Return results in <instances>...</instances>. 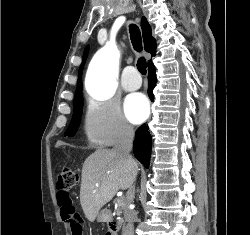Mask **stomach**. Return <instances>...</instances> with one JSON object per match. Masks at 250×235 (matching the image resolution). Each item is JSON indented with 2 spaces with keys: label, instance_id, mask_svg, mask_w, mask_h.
<instances>
[{
  "label": "stomach",
  "instance_id": "stomach-1",
  "mask_svg": "<svg viewBox=\"0 0 250 235\" xmlns=\"http://www.w3.org/2000/svg\"><path fill=\"white\" fill-rule=\"evenodd\" d=\"M109 218V214L106 210H101L97 215V220L99 222H106Z\"/></svg>",
  "mask_w": 250,
  "mask_h": 235
}]
</instances>
